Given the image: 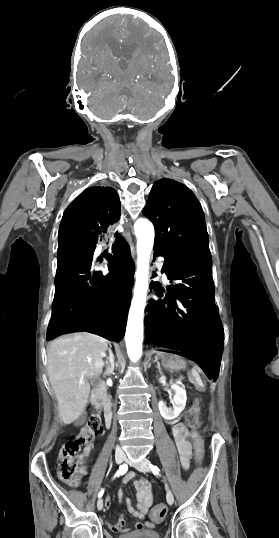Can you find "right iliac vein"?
<instances>
[{
  "label": "right iliac vein",
  "mask_w": 279,
  "mask_h": 538,
  "mask_svg": "<svg viewBox=\"0 0 279 538\" xmlns=\"http://www.w3.org/2000/svg\"><path fill=\"white\" fill-rule=\"evenodd\" d=\"M125 459V455L123 452H117L115 454V461L117 464H121ZM97 508L98 510H101L103 508V500L100 498L97 501Z\"/></svg>",
  "instance_id": "63e3f726"
}]
</instances>
